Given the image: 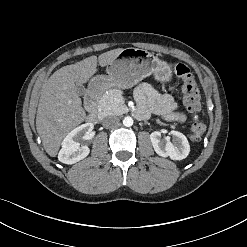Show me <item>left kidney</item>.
Returning <instances> with one entry per match:
<instances>
[{"label": "left kidney", "instance_id": "left-kidney-1", "mask_svg": "<svg viewBox=\"0 0 247 247\" xmlns=\"http://www.w3.org/2000/svg\"><path fill=\"white\" fill-rule=\"evenodd\" d=\"M172 142L169 137L161 140V133L155 131L151 133L150 140L155 152L162 157H170L172 160H182L186 158L190 151V146L185 135L178 131H171Z\"/></svg>", "mask_w": 247, "mask_h": 247}]
</instances>
